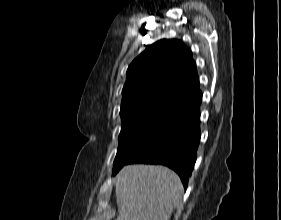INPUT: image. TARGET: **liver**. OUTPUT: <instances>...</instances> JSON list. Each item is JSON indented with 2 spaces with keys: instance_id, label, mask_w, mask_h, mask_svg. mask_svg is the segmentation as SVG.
Wrapping results in <instances>:
<instances>
[{
  "instance_id": "1",
  "label": "liver",
  "mask_w": 281,
  "mask_h": 220,
  "mask_svg": "<svg viewBox=\"0 0 281 220\" xmlns=\"http://www.w3.org/2000/svg\"><path fill=\"white\" fill-rule=\"evenodd\" d=\"M179 176L161 165H126L116 176L117 220H169L183 194Z\"/></svg>"
}]
</instances>
